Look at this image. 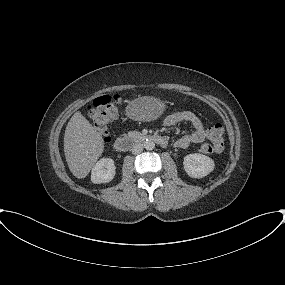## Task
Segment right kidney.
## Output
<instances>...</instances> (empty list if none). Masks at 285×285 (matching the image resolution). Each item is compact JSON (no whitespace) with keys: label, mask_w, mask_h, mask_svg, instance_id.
<instances>
[{"label":"right kidney","mask_w":285,"mask_h":285,"mask_svg":"<svg viewBox=\"0 0 285 285\" xmlns=\"http://www.w3.org/2000/svg\"><path fill=\"white\" fill-rule=\"evenodd\" d=\"M116 174L115 162L111 158L100 159L92 168L91 181L95 184L108 183Z\"/></svg>","instance_id":"1"}]
</instances>
